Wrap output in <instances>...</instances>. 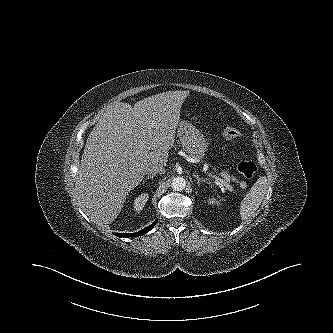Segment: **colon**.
Masks as SVG:
<instances>
[{
    "label": "colon",
    "mask_w": 333,
    "mask_h": 333,
    "mask_svg": "<svg viewBox=\"0 0 333 333\" xmlns=\"http://www.w3.org/2000/svg\"><path fill=\"white\" fill-rule=\"evenodd\" d=\"M239 135V130L232 124H227L222 132V136L226 141H232ZM237 169L241 175L248 179L252 178L257 171L255 163L249 160H241L237 165Z\"/></svg>",
    "instance_id": "5ec220e1"
}]
</instances>
